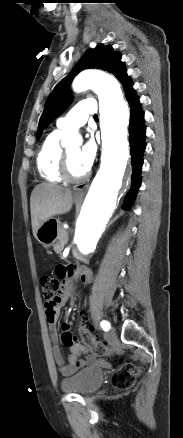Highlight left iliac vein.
I'll return each mask as SVG.
<instances>
[{
  "label": "left iliac vein",
  "instance_id": "1",
  "mask_svg": "<svg viewBox=\"0 0 183 438\" xmlns=\"http://www.w3.org/2000/svg\"><path fill=\"white\" fill-rule=\"evenodd\" d=\"M104 337L110 343H114L116 341V333L114 330L105 333Z\"/></svg>",
  "mask_w": 183,
  "mask_h": 438
}]
</instances>
